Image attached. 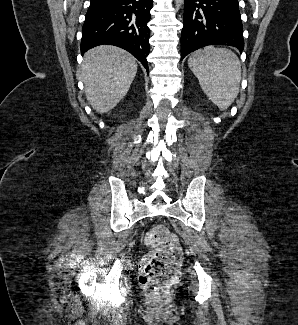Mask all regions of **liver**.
<instances>
[{
  "label": "liver",
  "mask_w": 298,
  "mask_h": 325,
  "mask_svg": "<svg viewBox=\"0 0 298 325\" xmlns=\"http://www.w3.org/2000/svg\"><path fill=\"white\" fill-rule=\"evenodd\" d=\"M85 96L96 112H109L125 96L137 72L136 58L118 46L101 44L84 54Z\"/></svg>",
  "instance_id": "6515ba94"
}]
</instances>
